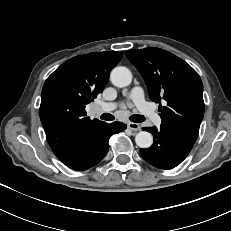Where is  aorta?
I'll use <instances>...</instances> for the list:
<instances>
[{
	"label": "aorta",
	"instance_id": "762f6f07",
	"mask_svg": "<svg viewBox=\"0 0 231 231\" xmlns=\"http://www.w3.org/2000/svg\"><path fill=\"white\" fill-rule=\"evenodd\" d=\"M110 80L116 87H126L132 81V73L126 67H115L111 71ZM135 142L140 148H149L153 143V136L147 131H140L135 136Z\"/></svg>",
	"mask_w": 231,
	"mask_h": 231
}]
</instances>
